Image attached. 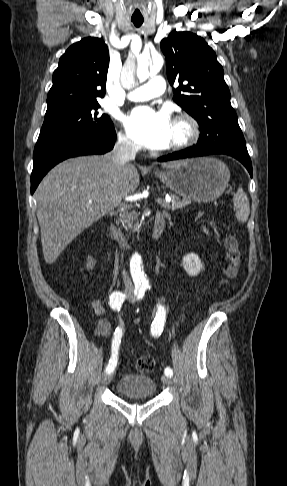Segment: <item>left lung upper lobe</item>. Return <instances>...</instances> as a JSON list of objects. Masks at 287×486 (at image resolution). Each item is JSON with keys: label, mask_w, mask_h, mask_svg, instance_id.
Returning <instances> with one entry per match:
<instances>
[{"label": "left lung upper lobe", "mask_w": 287, "mask_h": 486, "mask_svg": "<svg viewBox=\"0 0 287 486\" xmlns=\"http://www.w3.org/2000/svg\"><path fill=\"white\" fill-rule=\"evenodd\" d=\"M173 100L199 124L197 147L247 151L230 91L216 54L205 40L190 32L172 31L161 41Z\"/></svg>", "instance_id": "left-lung-upper-lobe-1"}]
</instances>
